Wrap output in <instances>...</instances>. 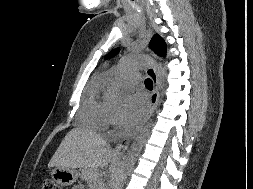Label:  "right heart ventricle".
I'll return each instance as SVG.
<instances>
[{
	"instance_id": "e07e8e85",
	"label": "right heart ventricle",
	"mask_w": 253,
	"mask_h": 189,
	"mask_svg": "<svg viewBox=\"0 0 253 189\" xmlns=\"http://www.w3.org/2000/svg\"><path fill=\"white\" fill-rule=\"evenodd\" d=\"M100 93L101 87H92L79 113L80 122L95 131H101L108 126L111 113L101 101Z\"/></svg>"
}]
</instances>
